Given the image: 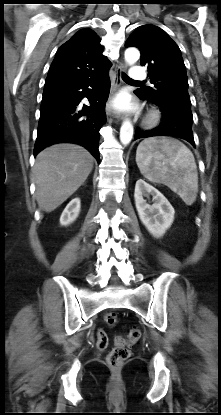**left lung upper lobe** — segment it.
<instances>
[{
  "instance_id": "1",
  "label": "left lung upper lobe",
  "mask_w": 221,
  "mask_h": 415,
  "mask_svg": "<svg viewBox=\"0 0 221 415\" xmlns=\"http://www.w3.org/2000/svg\"><path fill=\"white\" fill-rule=\"evenodd\" d=\"M125 46L140 50V64L148 68L154 85L138 89L141 96L155 102L168 99L190 102L181 51L165 31L155 25H142L134 30Z\"/></svg>"
}]
</instances>
